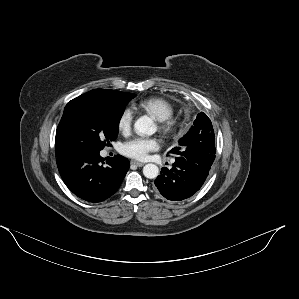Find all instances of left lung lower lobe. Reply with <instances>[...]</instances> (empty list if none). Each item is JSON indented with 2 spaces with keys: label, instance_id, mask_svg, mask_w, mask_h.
Returning <instances> with one entry per match:
<instances>
[{
  "label": "left lung lower lobe",
  "instance_id": "left-lung-lower-lobe-1",
  "mask_svg": "<svg viewBox=\"0 0 299 299\" xmlns=\"http://www.w3.org/2000/svg\"><path fill=\"white\" fill-rule=\"evenodd\" d=\"M210 168L202 157L176 155L171 169L162 168L155 180V190L171 201L187 199L204 184Z\"/></svg>",
  "mask_w": 299,
  "mask_h": 299
}]
</instances>
